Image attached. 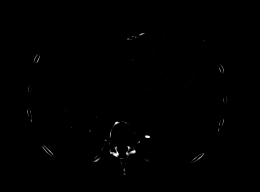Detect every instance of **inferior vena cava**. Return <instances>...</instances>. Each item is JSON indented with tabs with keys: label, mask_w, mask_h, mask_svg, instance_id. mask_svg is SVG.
Wrapping results in <instances>:
<instances>
[{
	"label": "inferior vena cava",
	"mask_w": 260,
	"mask_h": 192,
	"mask_svg": "<svg viewBox=\"0 0 260 192\" xmlns=\"http://www.w3.org/2000/svg\"><path fill=\"white\" fill-rule=\"evenodd\" d=\"M111 88V86H110ZM111 93L112 94H123V91H121L119 88H115L114 86L112 87V90H111Z\"/></svg>",
	"instance_id": "obj_1"
}]
</instances>
